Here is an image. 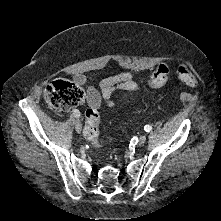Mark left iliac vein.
Instances as JSON below:
<instances>
[{
    "label": "left iliac vein",
    "instance_id": "4c4485c4",
    "mask_svg": "<svg viewBox=\"0 0 221 221\" xmlns=\"http://www.w3.org/2000/svg\"><path fill=\"white\" fill-rule=\"evenodd\" d=\"M145 141H146V136H145V135H141V136L139 137L138 143H139V145H142V144L145 143Z\"/></svg>",
    "mask_w": 221,
    "mask_h": 221
}]
</instances>
